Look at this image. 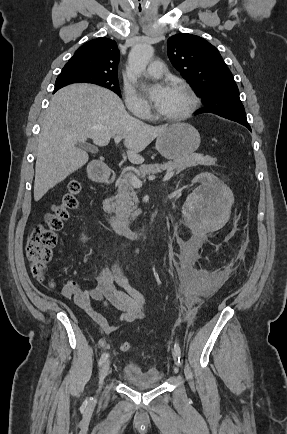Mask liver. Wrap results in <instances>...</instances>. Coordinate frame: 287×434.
<instances>
[{"label":"liver","mask_w":287,"mask_h":434,"mask_svg":"<svg viewBox=\"0 0 287 434\" xmlns=\"http://www.w3.org/2000/svg\"><path fill=\"white\" fill-rule=\"evenodd\" d=\"M150 126L126 111L122 100L105 88L73 84L55 93L39 134L35 167L34 200L85 165L87 152L76 147L88 138L106 146L114 136L124 139L131 163H142L139 154L165 129Z\"/></svg>","instance_id":"6515ba94"}]
</instances>
